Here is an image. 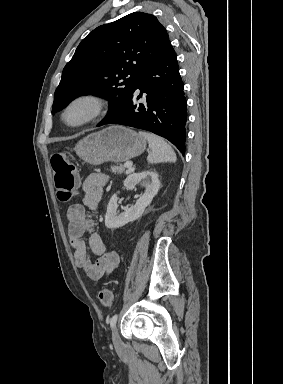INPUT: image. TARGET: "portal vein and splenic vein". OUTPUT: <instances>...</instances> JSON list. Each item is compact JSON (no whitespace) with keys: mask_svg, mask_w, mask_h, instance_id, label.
I'll use <instances>...</instances> for the list:
<instances>
[{"mask_svg":"<svg viewBox=\"0 0 283 384\" xmlns=\"http://www.w3.org/2000/svg\"><path fill=\"white\" fill-rule=\"evenodd\" d=\"M133 162H125L124 168H132Z\"/></svg>","mask_w":283,"mask_h":384,"instance_id":"18ae733b","label":"portal vein and splenic vein"}]
</instances>
